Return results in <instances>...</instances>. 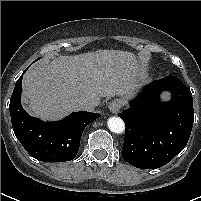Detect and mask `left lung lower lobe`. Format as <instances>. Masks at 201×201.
Instances as JSON below:
<instances>
[{
  "label": "left lung lower lobe",
  "mask_w": 201,
  "mask_h": 201,
  "mask_svg": "<svg viewBox=\"0 0 201 201\" xmlns=\"http://www.w3.org/2000/svg\"><path fill=\"white\" fill-rule=\"evenodd\" d=\"M163 91L172 98L159 102ZM119 113L126 125L122 156L141 169L166 165L186 146L193 126L194 109L189 88L175 76H167L144 87Z\"/></svg>",
  "instance_id": "1"
}]
</instances>
